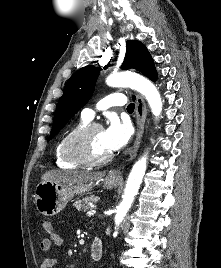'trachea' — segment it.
Returning a JSON list of instances; mask_svg holds the SVG:
<instances>
[{
    "label": "trachea",
    "mask_w": 221,
    "mask_h": 268,
    "mask_svg": "<svg viewBox=\"0 0 221 268\" xmlns=\"http://www.w3.org/2000/svg\"><path fill=\"white\" fill-rule=\"evenodd\" d=\"M134 108H135V105H134L133 103H131V104H129V105L127 106V110H128V111H133Z\"/></svg>",
    "instance_id": "trachea-1"
}]
</instances>
